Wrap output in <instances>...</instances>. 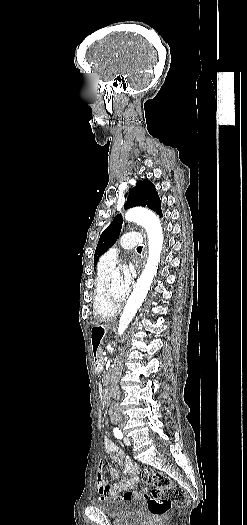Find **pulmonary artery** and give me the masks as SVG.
I'll return each mask as SVG.
<instances>
[{"label": "pulmonary artery", "mask_w": 247, "mask_h": 525, "mask_svg": "<svg viewBox=\"0 0 247 525\" xmlns=\"http://www.w3.org/2000/svg\"><path fill=\"white\" fill-rule=\"evenodd\" d=\"M142 242V236H133V231L124 233L120 236L118 244L112 246L105 253V264L110 265L116 260L120 248L132 249L140 245Z\"/></svg>", "instance_id": "e3ab8cb5"}]
</instances>
